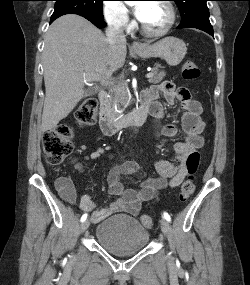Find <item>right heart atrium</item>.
I'll return each mask as SVG.
<instances>
[{
  "instance_id": "1",
  "label": "right heart atrium",
  "mask_w": 250,
  "mask_h": 285,
  "mask_svg": "<svg viewBox=\"0 0 250 285\" xmlns=\"http://www.w3.org/2000/svg\"><path fill=\"white\" fill-rule=\"evenodd\" d=\"M103 12L107 24L115 29L128 30L132 25L127 8L119 0L106 1Z\"/></svg>"
}]
</instances>
